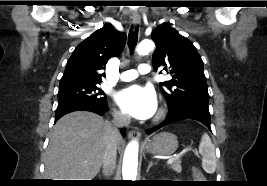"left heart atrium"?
I'll return each mask as SVG.
<instances>
[{
	"instance_id": "1",
	"label": "left heart atrium",
	"mask_w": 267,
	"mask_h": 186,
	"mask_svg": "<svg viewBox=\"0 0 267 186\" xmlns=\"http://www.w3.org/2000/svg\"><path fill=\"white\" fill-rule=\"evenodd\" d=\"M117 102L122 110L136 119H149L157 110V97L153 89L131 85L121 90Z\"/></svg>"
}]
</instances>
